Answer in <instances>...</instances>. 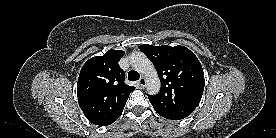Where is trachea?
I'll return each mask as SVG.
<instances>
[{"instance_id":"trachea-1","label":"trachea","mask_w":276,"mask_h":138,"mask_svg":"<svg viewBox=\"0 0 276 138\" xmlns=\"http://www.w3.org/2000/svg\"><path fill=\"white\" fill-rule=\"evenodd\" d=\"M140 78V74L134 70H131L129 73H128V79L130 81H136Z\"/></svg>"}]
</instances>
